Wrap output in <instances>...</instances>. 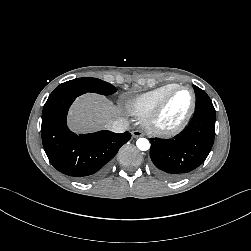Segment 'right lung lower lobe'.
I'll use <instances>...</instances> for the list:
<instances>
[{
    "mask_svg": "<svg viewBox=\"0 0 251 251\" xmlns=\"http://www.w3.org/2000/svg\"><path fill=\"white\" fill-rule=\"evenodd\" d=\"M79 92L50 95L42 113L43 147L51 164L60 172L79 180L96 179L108 169L109 161L131 134L99 131L76 135L66 125V116Z\"/></svg>",
    "mask_w": 251,
    "mask_h": 251,
    "instance_id": "1",
    "label": "right lung lower lobe"
}]
</instances>
